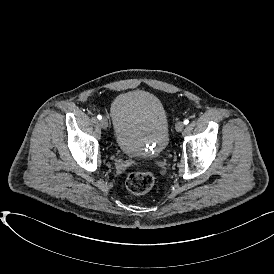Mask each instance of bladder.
<instances>
[{
    "instance_id": "1",
    "label": "bladder",
    "mask_w": 274,
    "mask_h": 274,
    "mask_svg": "<svg viewBox=\"0 0 274 274\" xmlns=\"http://www.w3.org/2000/svg\"><path fill=\"white\" fill-rule=\"evenodd\" d=\"M114 139L129 157H155L167 147L169 124L154 94L133 90L118 95L111 106Z\"/></svg>"
}]
</instances>
